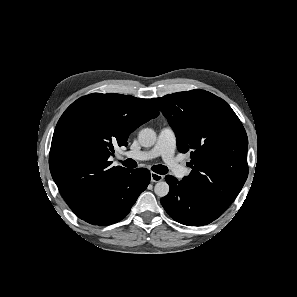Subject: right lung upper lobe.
Here are the masks:
<instances>
[{
  "mask_svg": "<svg viewBox=\"0 0 297 297\" xmlns=\"http://www.w3.org/2000/svg\"><path fill=\"white\" fill-rule=\"evenodd\" d=\"M159 115L150 99L92 93L77 99L59 119L51 143V175L77 215L129 169L110 166L113 144L126 146L131 132Z\"/></svg>",
  "mask_w": 297,
  "mask_h": 297,
  "instance_id": "obj_1",
  "label": "right lung upper lobe"
}]
</instances>
